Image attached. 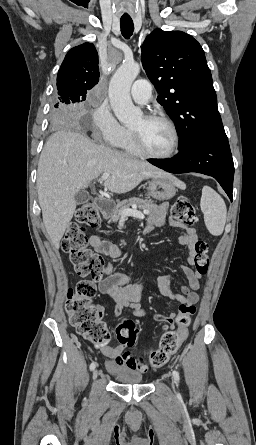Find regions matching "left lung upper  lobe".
Here are the masks:
<instances>
[{
  "instance_id": "5c2ea615",
  "label": "left lung upper lobe",
  "mask_w": 256,
  "mask_h": 445,
  "mask_svg": "<svg viewBox=\"0 0 256 445\" xmlns=\"http://www.w3.org/2000/svg\"><path fill=\"white\" fill-rule=\"evenodd\" d=\"M143 67L157 101L176 124L180 148L198 136L225 133L204 51L181 31L154 30L145 39Z\"/></svg>"
}]
</instances>
